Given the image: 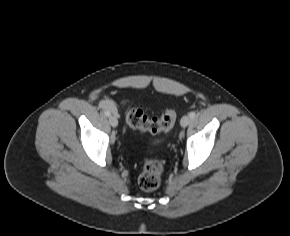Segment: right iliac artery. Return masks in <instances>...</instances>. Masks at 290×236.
<instances>
[{"label":"right iliac artery","instance_id":"82829eb1","mask_svg":"<svg viewBox=\"0 0 290 236\" xmlns=\"http://www.w3.org/2000/svg\"><path fill=\"white\" fill-rule=\"evenodd\" d=\"M104 114H105L106 116H110V112H109L108 110H104Z\"/></svg>","mask_w":290,"mask_h":236}]
</instances>
